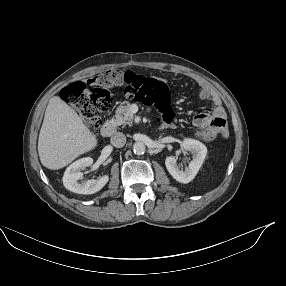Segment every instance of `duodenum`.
Returning <instances> with one entry per match:
<instances>
[{"mask_svg":"<svg viewBox=\"0 0 286 286\" xmlns=\"http://www.w3.org/2000/svg\"><path fill=\"white\" fill-rule=\"evenodd\" d=\"M115 130H116L115 123L111 120H108L104 123L101 133L104 137L108 138V137H111L115 133Z\"/></svg>","mask_w":286,"mask_h":286,"instance_id":"duodenum-1","label":"duodenum"}]
</instances>
